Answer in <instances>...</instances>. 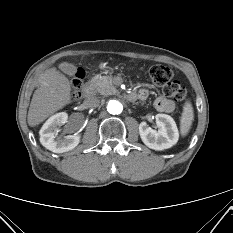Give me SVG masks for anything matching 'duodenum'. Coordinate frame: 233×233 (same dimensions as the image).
I'll return each instance as SVG.
<instances>
[{"instance_id": "duodenum-1", "label": "duodenum", "mask_w": 233, "mask_h": 233, "mask_svg": "<svg viewBox=\"0 0 233 233\" xmlns=\"http://www.w3.org/2000/svg\"><path fill=\"white\" fill-rule=\"evenodd\" d=\"M83 95L86 99H90L93 96V86L88 83L83 87ZM139 96L134 93V92H130L127 94V99L129 101H135Z\"/></svg>"}]
</instances>
